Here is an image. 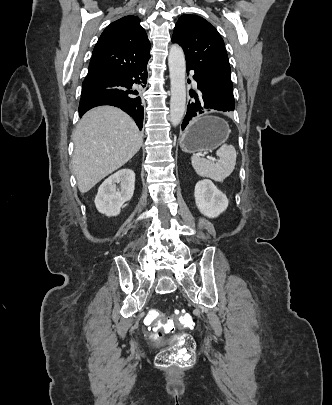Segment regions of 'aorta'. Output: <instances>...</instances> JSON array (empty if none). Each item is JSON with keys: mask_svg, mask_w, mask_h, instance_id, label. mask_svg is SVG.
Wrapping results in <instances>:
<instances>
[{"mask_svg": "<svg viewBox=\"0 0 332 405\" xmlns=\"http://www.w3.org/2000/svg\"><path fill=\"white\" fill-rule=\"evenodd\" d=\"M171 83L170 122L179 125L186 111V63L183 49L179 45H172L168 56Z\"/></svg>", "mask_w": 332, "mask_h": 405, "instance_id": "aorta-1", "label": "aorta"}]
</instances>
